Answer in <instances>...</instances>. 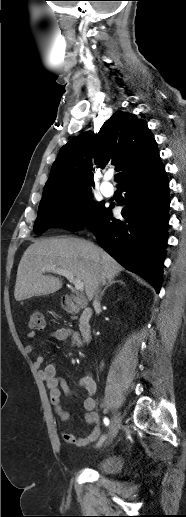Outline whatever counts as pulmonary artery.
Returning <instances> with one entry per match:
<instances>
[{"label": "pulmonary artery", "instance_id": "obj_1", "mask_svg": "<svg viewBox=\"0 0 186 517\" xmlns=\"http://www.w3.org/2000/svg\"><path fill=\"white\" fill-rule=\"evenodd\" d=\"M110 175H106L101 183L100 190L106 197H111L114 194V189L109 182Z\"/></svg>", "mask_w": 186, "mask_h": 517}]
</instances>
